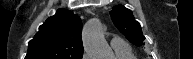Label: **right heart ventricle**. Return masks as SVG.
<instances>
[{"label":"right heart ventricle","mask_w":193,"mask_h":59,"mask_svg":"<svg viewBox=\"0 0 193 59\" xmlns=\"http://www.w3.org/2000/svg\"><path fill=\"white\" fill-rule=\"evenodd\" d=\"M115 56L116 59H137L131 48L115 51Z\"/></svg>","instance_id":"1"}]
</instances>
